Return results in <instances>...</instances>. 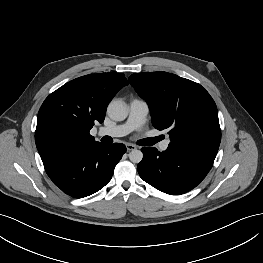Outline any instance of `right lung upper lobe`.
I'll return each instance as SVG.
<instances>
[{
  "label": "right lung upper lobe",
  "instance_id": "right-lung-upper-lobe-1",
  "mask_svg": "<svg viewBox=\"0 0 263 263\" xmlns=\"http://www.w3.org/2000/svg\"><path fill=\"white\" fill-rule=\"evenodd\" d=\"M127 84L122 73L89 74L69 81L45 99L35 131L45 169L70 150L96 142L90 129L94 122L104 121L108 103Z\"/></svg>",
  "mask_w": 263,
  "mask_h": 263
}]
</instances>
